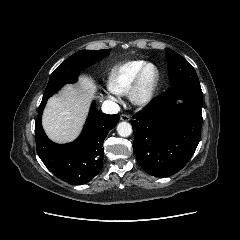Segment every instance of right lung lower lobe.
I'll return each mask as SVG.
<instances>
[{"label":"right lung lower lobe","mask_w":240,"mask_h":240,"mask_svg":"<svg viewBox=\"0 0 240 240\" xmlns=\"http://www.w3.org/2000/svg\"><path fill=\"white\" fill-rule=\"evenodd\" d=\"M48 98H42L35 122L37 153L46 167L60 179L73 185L88 183L102 168L104 139L120 116L99 113L93 102L80 137L72 143L59 145L50 141L42 128L41 118Z\"/></svg>","instance_id":"98d812e1"}]
</instances>
